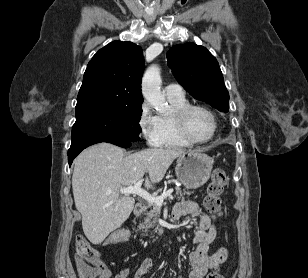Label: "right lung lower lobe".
Segmentation results:
<instances>
[{"label":"right lung lower lobe","instance_id":"obj_1","mask_svg":"<svg viewBox=\"0 0 308 278\" xmlns=\"http://www.w3.org/2000/svg\"><path fill=\"white\" fill-rule=\"evenodd\" d=\"M100 142H108V143H112L115 144L117 146L123 147V148H127L130 147L131 144L130 142H125V141H116V140H86V141H80V142H75L71 144V147L68 151V162L69 165L72 164L73 159L86 147L96 144V143H100Z\"/></svg>","mask_w":308,"mask_h":278}]
</instances>
